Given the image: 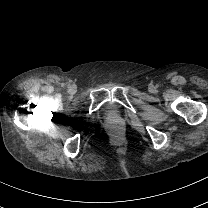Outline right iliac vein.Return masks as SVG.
Segmentation results:
<instances>
[{
    "mask_svg": "<svg viewBox=\"0 0 208 208\" xmlns=\"http://www.w3.org/2000/svg\"><path fill=\"white\" fill-rule=\"evenodd\" d=\"M69 93L75 94V93H76V87H75V86H71V87L69 88Z\"/></svg>",
    "mask_w": 208,
    "mask_h": 208,
    "instance_id": "63e3f726",
    "label": "right iliac vein"
}]
</instances>
